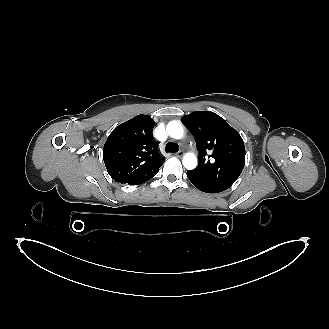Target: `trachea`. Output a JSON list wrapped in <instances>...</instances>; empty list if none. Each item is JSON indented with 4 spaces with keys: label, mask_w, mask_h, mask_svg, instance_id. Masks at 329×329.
<instances>
[{
    "label": "trachea",
    "mask_w": 329,
    "mask_h": 329,
    "mask_svg": "<svg viewBox=\"0 0 329 329\" xmlns=\"http://www.w3.org/2000/svg\"><path fill=\"white\" fill-rule=\"evenodd\" d=\"M165 149H166V152H172V153L178 152V150H179V148H178V146L176 144L170 143V142L167 143Z\"/></svg>",
    "instance_id": "1"
}]
</instances>
